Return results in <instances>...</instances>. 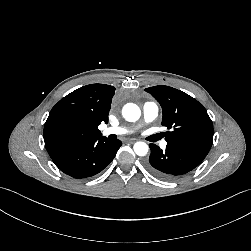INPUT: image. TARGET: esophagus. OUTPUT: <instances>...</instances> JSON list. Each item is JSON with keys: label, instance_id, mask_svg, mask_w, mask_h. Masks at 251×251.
Masks as SVG:
<instances>
[{"label": "esophagus", "instance_id": "obj_1", "mask_svg": "<svg viewBox=\"0 0 251 251\" xmlns=\"http://www.w3.org/2000/svg\"><path fill=\"white\" fill-rule=\"evenodd\" d=\"M127 142H129V143H134V142H135V139H128Z\"/></svg>", "mask_w": 251, "mask_h": 251}]
</instances>
